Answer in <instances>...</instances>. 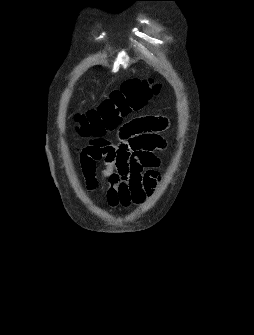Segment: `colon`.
Wrapping results in <instances>:
<instances>
[{"label": "colon", "mask_w": 254, "mask_h": 335, "mask_svg": "<svg viewBox=\"0 0 254 335\" xmlns=\"http://www.w3.org/2000/svg\"><path fill=\"white\" fill-rule=\"evenodd\" d=\"M160 90L153 79L129 80L115 90L93 110L76 115L80 136L93 139L91 145H103L107 132L115 131L123 118L144 108L150 98Z\"/></svg>", "instance_id": "obj_1"}]
</instances>
